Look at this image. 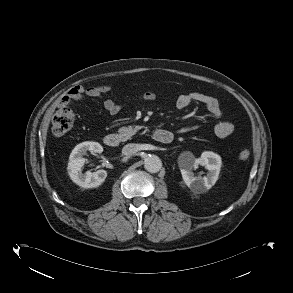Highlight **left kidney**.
I'll return each instance as SVG.
<instances>
[{"instance_id":"obj_1","label":"left kidney","mask_w":293,"mask_h":293,"mask_svg":"<svg viewBox=\"0 0 293 293\" xmlns=\"http://www.w3.org/2000/svg\"><path fill=\"white\" fill-rule=\"evenodd\" d=\"M203 164L208 170L206 176H195L193 170ZM222 165L221 157L211 151H205L200 158L191 159L188 162L180 163V171L185 184L195 194H200L209 190L218 180Z\"/></svg>"}]
</instances>
